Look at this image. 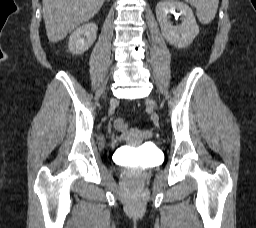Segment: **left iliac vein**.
Masks as SVG:
<instances>
[{"instance_id": "1", "label": "left iliac vein", "mask_w": 256, "mask_h": 228, "mask_svg": "<svg viewBox=\"0 0 256 228\" xmlns=\"http://www.w3.org/2000/svg\"><path fill=\"white\" fill-rule=\"evenodd\" d=\"M148 103H149L150 105L155 106V103H154L153 101H151V100H149Z\"/></svg>"}]
</instances>
